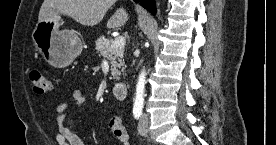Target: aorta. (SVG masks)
Listing matches in <instances>:
<instances>
[{"label":"aorta","mask_w":276,"mask_h":145,"mask_svg":"<svg viewBox=\"0 0 276 145\" xmlns=\"http://www.w3.org/2000/svg\"><path fill=\"white\" fill-rule=\"evenodd\" d=\"M146 84V71L143 69L138 77V82L136 85V93L134 99L135 106H142L144 103V93Z\"/></svg>","instance_id":"762f6f07"}]
</instances>
